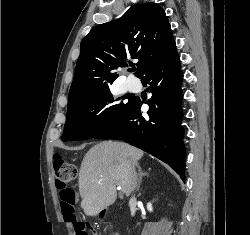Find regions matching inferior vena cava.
<instances>
[{"label": "inferior vena cava", "mask_w": 250, "mask_h": 235, "mask_svg": "<svg viewBox=\"0 0 250 235\" xmlns=\"http://www.w3.org/2000/svg\"><path fill=\"white\" fill-rule=\"evenodd\" d=\"M136 184H137V175H136L135 169L132 168V170H131V189H132V191H134Z\"/></svg>", "instance_id": "1"}]
</instances>
